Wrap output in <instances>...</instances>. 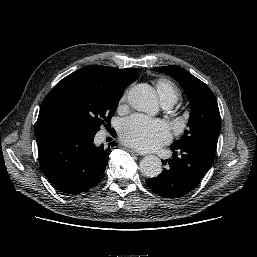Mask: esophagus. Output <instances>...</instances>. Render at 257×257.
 I'll return each instance as SVG.
<instances>
[{"mask_svg":"<svg viewBox=\"0 0 257 257\" xmlns=\"http://www.w3.org/2000/svg\"><path fill=\"white\" fill-rule=\"evenodd\" d=\"M126 150H127L129 153L133 154V155H139L138 152H136L135 150H133V149H131V148H126Z\"/></svg>","mask_w":257,"mask_h":257,"instance_id":"1","label":"esophagus"}]
</instances>
